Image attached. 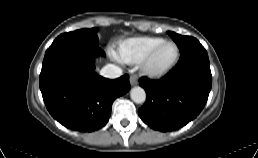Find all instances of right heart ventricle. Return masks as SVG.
Listing matches in <instances>:
<instances>
[{"label":"right heart ventricle","instance_id":"1","mask_svg":"<svg viewBox=\"0 0 258 158\" xmlns=\"http://www.w3.org/2000/svg\"><path fill=\"white\" fill-rule=\"evenodd\" d=\"M161 41L163 39L157 37H139L127 40L120 45L117 57L129 65L139 64Z\"/></svg>","mask_w":258,"mask_h":158}]
</instances>
